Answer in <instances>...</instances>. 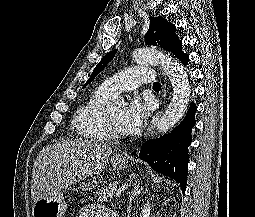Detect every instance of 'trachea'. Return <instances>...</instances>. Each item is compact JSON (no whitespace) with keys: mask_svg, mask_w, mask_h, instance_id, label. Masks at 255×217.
<instances>
[{"mask_svg":"<svg viewBox=\"0 0 255 217\" xmlns=\"http://www.w3.org/2000/svg\"><path fill=\"white\" fill-rule=\"evenodd\" d=\"M153 88L154 89H160L161 88V84L159 82H154Z\"/></svg>","mask_w":255,"mask_h":217,"instance_id":"3493384b","label":"trachea"}]
</instances>
